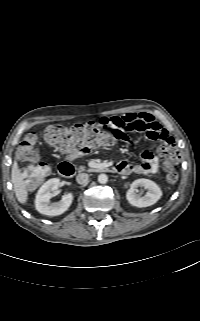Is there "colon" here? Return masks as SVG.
Instances as JSON below:
<instances>
[{"instance_id":"colon-1","label":"colon","mask_w":200,"mask_h":321,"mask_svg":"<svg viewBox=\"0 0 200 321\" xmlns=\"http://www.w3.org/2000/svg\"><path fill=\"white\" fill-rule=\"evenodd\" d=\"M45 140L61 150L85 154L99 146H109L122 139L119 125L114 121L88 122L73 125H51L44 132ZM36 135L30 133L25 136L19 146L18 154L21 160L29 162L30 166L23 172L29 185L40 183L49 173L46 163L38 162ZM163 167L166 171L167 182L177 181L179 155L174 147H168L162 153Z\"/></svg>"}]
</instances>
